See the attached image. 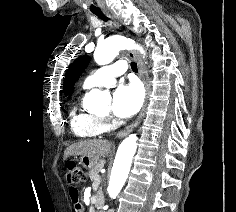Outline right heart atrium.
Here are the masks:
<instances>
[{"label": "right heart atrium", "instance_id": "obj_1", "mask_svg": "<svg viewBox=\"0 0 236 212\" xmlns=\"http://www.w3.org/2000/svg\"><path fill=\"white\" fill-rule=\"evenodd\" d=\"M103 121L106 127V130H108L112 126V119L109 116L103 117Z\"/></svg>", "mask_w": 236, "mask_h": 212}]
</instances>
